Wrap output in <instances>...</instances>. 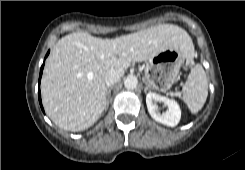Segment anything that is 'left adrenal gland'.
Masks as SVG:
<instances>
[{
    "mask_svg": "<svg viewBox=\"0 0 245 170\" xmlns=\"http://www.w3.org/2000/svg\"><path fill=\"white\" fill-rule=\"evenodd\" d=\"M145 84H146V86H145V88H144V92L146 93L147 92V90L150 88L148 85H147V83L145 82Z\"/></svg>",
    "mask_w": 245,
    "mask_h": 170,
    "instance_id": "obj_1",
    "label": "left adrenal gland"
}]
</instances>
